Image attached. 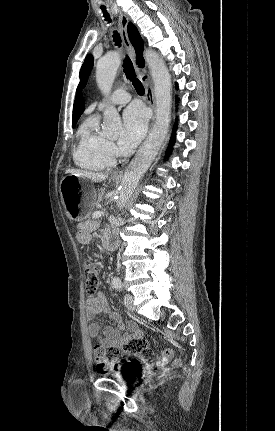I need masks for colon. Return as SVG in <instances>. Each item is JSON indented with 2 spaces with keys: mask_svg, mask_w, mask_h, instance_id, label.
<instances>
[{
  "mask_svg": "<svg viewBox=\"0 0 275 431\" xmlns=\"http://www.w3.org/2000/svg\"><path fill=\"white\" fill-rule=\"evenodd\" d=\"M83 270L86 279L87 292L93 294L96 292L101 268L98 263L93 261H85L83 263ZM121 350L138 356L141 360L151 363L154 367L164 366L169 363L173 358V350L164 349L153 362V352L144 340H133L126 344L123 348H112L108 351L104 350L101 346H96L95 358L97 361V369L99 372L106 373L120 364L119 354ZM180 359H175L174 364L179 365Z\"/></svg>",
  "mask_w": 275,
  "mask_h": 431,
  "instance_id": "5ec220e1",
  "label": "colon"
}]
</instances>
